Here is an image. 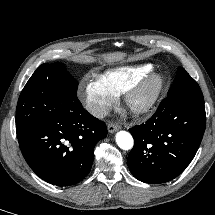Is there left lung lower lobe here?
I'll use <instances>...</instances> for the list:
<instances>
[{
  "label": "left lung lower lobe",
  "mask_w": 215,
  "mask_h": 215,
  "mask_svg": "<svg viewBox=\"0 0 215 215\" xmlns=\"http://www.w3.org/2000/svg\"><path fill=\"white\" fill-rule=\"evenodd\" d=\"M206 125L204 100L167 96L145 123L131 128L134 148L128 166L138 180L168 182L194 158Z\"/></svg>",
  "instance_id": "obj_1"
}]
</instances>
